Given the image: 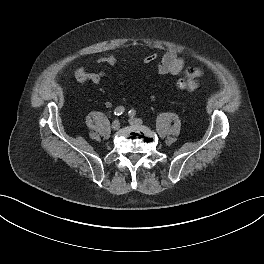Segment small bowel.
Masks as SVG:
<instances>
[{
    "mask_svg": "<svg viewBox=\"0 0 264 264\" xmlns=\"http://www.w3.org/2000/svg\"><path fill=\"white\" fill-rule=\"evenodd\" d=\"M186 59L177 51L169 49L161 57L157 65V73L159 75H178L184 68ZM202 71L197 67H188L185 70L187 78L192 80L197 85V79L201 76ZM75 77L79 82L100 83L105 77V72L102 70L96 72H87L83 67H79L75 71Z\"/></svg>",
    "mask_w": 264,
    "mask_h": 264,
    "instance_id": "small-bowel-1",
    "label": "small bowel"
}]
</instances>
